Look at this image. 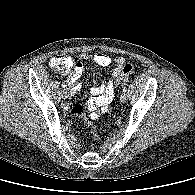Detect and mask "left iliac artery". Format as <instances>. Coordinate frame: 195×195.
I'll return each instance as SVG.
<instances>
[{"label": "left iliac artery", "instance_id": "1", "mask_svg": "<svg viewBox=\"0 0 195 195\" xmlns=\"http://www.w3.org/2000/svg\"><path fill=\"white\" fill-rule=\"evenodd\" d=\"M123 92H127V88L126 87L123 88Z\"/></svg>", "mask_w": 195, "mask_h": 195}]
</instances>
